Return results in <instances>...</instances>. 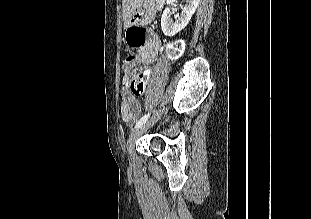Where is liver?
<instances>
[{
	"instance_id": "1",
	"label": "liver",
	"mask_w": 311,
	"mask_h": 219,
	"mask_svg": "<svg viewBox=\"0 0 311 219\" xmlns=\"http://www.w3.org/2000/svg\"><path fill=\"white\" fill-rule=\"evenodd\" d=\"M123 18L128 21L134 9L137 7V0H122Z\"/></svg>"
}]
</instances>
